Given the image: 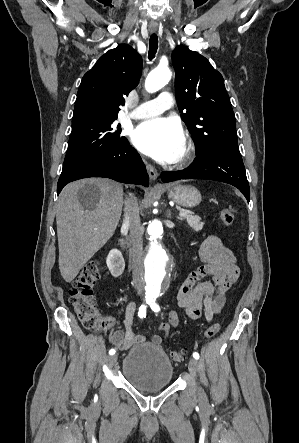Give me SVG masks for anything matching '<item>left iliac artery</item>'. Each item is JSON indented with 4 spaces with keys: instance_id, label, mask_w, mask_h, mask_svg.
Instances as JSON below:
<instances>
[{
    "instance_id": "obj_1",
    "label": "left iliac artery",
    "mask_w": 299,
    "mask_h": 443,
    "mask_svg": "<svg viewBox=\"0 0 299 443\" xmlns=\"http://www.w3.org/2000/svg\"><path fill=\"white\" fill-rule=\"evenodd\" d=\"M149 305H150L151 309H152L154 312H159V311H160V307H159V305L156 303V299H151V300L149 301ZM193 357H194L196 360H198L200 356H199L198 352H194V353H193Z\"/></svg>"
}]
</instances>
